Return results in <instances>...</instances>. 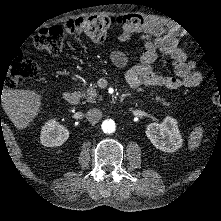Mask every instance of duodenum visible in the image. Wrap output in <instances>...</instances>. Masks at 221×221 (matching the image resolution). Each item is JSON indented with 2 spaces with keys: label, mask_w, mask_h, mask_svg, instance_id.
Instances as JSON below:
<instances>
[{
  "label": "duodenum",
  "mask_w": 221,
  "mask_h": 221,
  "mask_svg": "<svg viewBox=\"0 0 221 221\" xmlns=\"http://www.w3.org/2000/svg\"><path fill=\"white\" fill-rule=\"evenodd\" d=\"M126 95H123L122 98H125ZM63 98L65 101H67L69 104L75 105L79 102L81 95L79 92L76 91H66L63 94Z\"/></svg>",
  "instance_id": "duodenum-1"
}]
</instances>
